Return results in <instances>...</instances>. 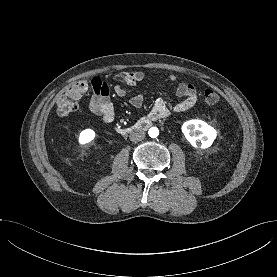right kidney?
I'll list each match as a JSON object with an SVG mask.
<instances>
[{
    "label": "right kidney",
    "mask_w": 277,
    "mask_h": 277,
    "mask_svg": "<svg viewBox=\"0 0 277 277\" xmlns=\"http://www.w3.org/2000/svg\"><path fill=\"white\" fill-rule=\"evenodd\" d=\"M95 138V132L92 129H85L79 135V143L81 145L91 142Z\"/></svg>",
    "instance_id": "1"
}]
</instances>
